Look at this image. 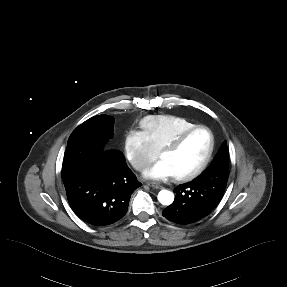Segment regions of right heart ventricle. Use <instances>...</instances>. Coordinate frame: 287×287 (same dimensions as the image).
<instances>
[{
    "instance_id": "e07e8e85",
    "label": "right heart ventricle",
    "mask_w": 287,
    "mask_h": 287,
    "mask_svg": "<svg viewBox=\"0 0 287 287\" xmlns=\"http://www.w3.org/2000/svg\"><path fill=\"white\" fill-rule=\"evenodd\" d=\"M143 133L158 151L183 131L195 126L188 118L179 115H149L140 121Z\"/></svg>"
}]
</instances>
